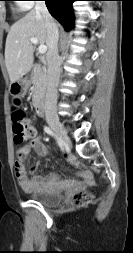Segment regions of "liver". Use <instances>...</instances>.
Segmentation results:
<instances>
[{
    "instance_id": "1",
    "label": "liver",
    "mask_w": 133,
    "mask_h": 253,
    "mask_svg": "<svg viewBox=\"0 0 133 253\" xmlns=\"http://www.w3.org/2000/svg\"><path fill=\"white\" fill-rule=\"evenodd\" d=\"M32 37L41 45L47 41L44 18L35 10L13 24L6 38L5 65L11 83L18 81L33 66L35 46L30 42Z\"/></svg>"
}]
</instances>
